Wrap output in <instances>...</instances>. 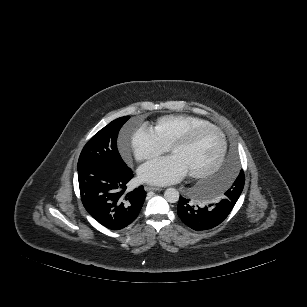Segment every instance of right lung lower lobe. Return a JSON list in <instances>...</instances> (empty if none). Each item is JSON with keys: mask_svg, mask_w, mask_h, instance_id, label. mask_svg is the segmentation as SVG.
Masks as SVG:
<instances>
[{"mask_svg": "<svg viewBox=\"0 0 307 307\" xmlns=\"http://www.w3.org/2000/svg\"><path fill=\"white\" fill-rule=\"evenodd\" d=\"M132 177L133 171L128 166L121 170L97 165L79 169L81 200L87 212L111 230L132 223L146 197L143 186L126 191Z\"/></svg>", "mask_w": 307, "mask_h": 307, "instance_id": "right-lung-lower-lobe-1", "label": "right lung lower lobe"}]
</instances>
